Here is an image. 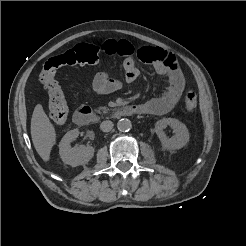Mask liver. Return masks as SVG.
Instances as JSON below:
<instances>
[{
	"mask_svg": "<svg viewBox=\"0 0 246 246\" xmlns=\"http://www.w3.org/2000/svg\"><path fill=\"white\" fill-rule=\"evenodd\" d=\"M31 137L39 156L44 162L49 161L52 147L56 143V132L41 104L35 106L32 114Z\"/></svg>",
	"mask_w": 246,
	"mask_h": 246,
	"instance_id": "liver-1",
	"label": "liver"
}]
</instances>
